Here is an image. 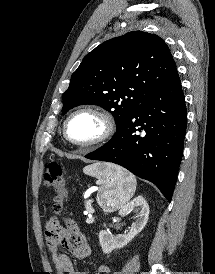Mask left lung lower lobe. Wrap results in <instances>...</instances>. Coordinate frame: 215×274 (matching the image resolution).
I'll return each instance as SVG.
<instances>
[{
  "instance_id": "0a47b994",
  "label": "left lung lower lobe",
  "mask_w": 215,
  "mask_h": 274,
  "mask_svg": "<svg viewBox=\"0 0 215 274\" xmlns=\"http://www.w3.org/2000/svg\"><path fill=\"white\" fill-rule=\"evenodd\" d=\"M187 111L178 73L147 96L104 146L87 154L154 183L170 202L183 153Z\"/></svg>"
}]
</instances>
